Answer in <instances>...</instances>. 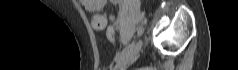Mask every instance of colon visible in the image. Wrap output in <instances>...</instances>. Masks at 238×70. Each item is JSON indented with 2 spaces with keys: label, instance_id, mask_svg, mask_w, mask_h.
Instances as JSON below:
<instances>
[{
  "label": "colon",
  "instance_id": "5ec220e1",
  "mask_svg": "<svg viewBox=\"0 0 238 70\" xmlns=\"http://www.w3.org/2000/svg\"><path fill=\"white\" fill-rule=\"evenodd\" d=\"M116 35V26L112 25L107 28V38L110 41H113L115 39Z\"/></svg>",
  "mask_w": 238,
  "mask_h": 70
}]
</instances>
